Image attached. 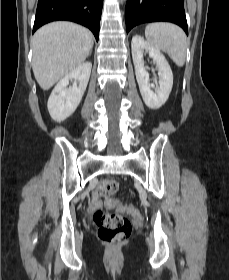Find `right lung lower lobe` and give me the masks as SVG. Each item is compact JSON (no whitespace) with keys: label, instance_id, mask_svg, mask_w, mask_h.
I'll list each match as a JSON object with an SVG mask.
<instances>
[{"label":"right lung lower lobe","instance_id":"1","mask_svg":"<svg viewBox=\"0 0 229 280\" xmlns=\"http://www.w3.org/2000/svg\"><path fill=\"white\" fill-rule=\"evenodd\" d=\"M103 0H39L33 33L42 25L68 20L89 28L98 40Z\"/></svg>","mask_w":229,"mask_h":280}]
</instances>
